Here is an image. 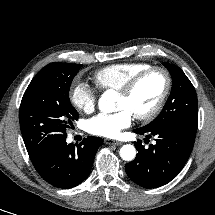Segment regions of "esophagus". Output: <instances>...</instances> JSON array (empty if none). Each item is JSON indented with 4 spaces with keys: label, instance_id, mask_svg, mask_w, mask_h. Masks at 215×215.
<instances>
[{
    "label": "esophagus",
    "instance_id": "34e87169",
    "mask_svg": "<svg viewBox=\"0 0 215 215\" xmlns=\"http://www.w3.org/2000/svg\"><path fill=\"white\" fill-rule=\"evenodd\" d=\"M105 143L108 144V145H117V146H120V145L123 144L120 141L112 140V139H105Z\"/></svg>",
    "mask_w": 215,
    "mask_h": 215
}]
</instances>
